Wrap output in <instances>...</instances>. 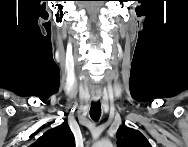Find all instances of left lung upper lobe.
<instances>
[{
	"mask_svg": "<svg viewBox=\"0 0 188 147\" xmlns=\"http://www.w3.org/2000/svg\"><path fill=\"white\" fill-rule=\"evenodd\" d=\"M116 136L118 147H151L141 132L125 125L119 128Z\"/></svg>",
	"mask_w": 188,
	"mask_h": 147,
	"instance_id": "1",
	"label": "left lung upper lobe"
}]
</instances>
